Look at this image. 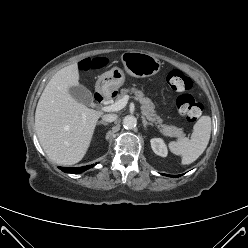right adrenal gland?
<instances>
[{
  "instance_id": "right-adrenal-gland-1",
  "label": "right adrenal gland",
  "mask_w": 248,
  "mask_h": 248,
  "mask_svg": "<svg viewBox=\"0 0 248 248\" xmlns=\"http://www.w3.org/2000/svg\"><path fill=\"white\" fill-rule=\"evenodd\" d=\"M98 125H105L106 126V125H108V123L107 122H104V121H99L98 122Z\"/></svg>"
}]
</instances>
